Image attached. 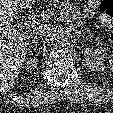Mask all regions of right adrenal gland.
I'll list each match as a JSON object with an SVG mask.
<instances>
[{
    "label": "right adrenal gland",
    "mask_w": 113,
    "mask_h": 113,
    "mask_svg": "<svg viewBox=\"0 0 113 113\" xmlns=\"http://www.w3.org/2000/svg\"><path fill=\"white\" fill-rule=\"evenodd\" d=\"M40 38H41V36L33 37L32 43H37Z\"/></svg>",
    "instance_id": "1"
}]
</instances>
